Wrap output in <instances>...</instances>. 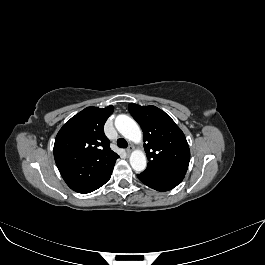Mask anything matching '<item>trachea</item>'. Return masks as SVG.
Wrapping results in <instances>:
<instances>
[{
	"label": "trachea",
	"mask_w": 265,
	"mask_h": 265,
	"mask_svg": "<svg viewBox=\"0 0 265 265\" xmlns=\"http://www.w3.org/2000/svg\"><path fill=\"white\" fill-rule=\"evenodd\" d=\"M117 145H118L119 148H127L128 143H127V141L125 139L119 138L117 140Z\"/></svg>",
	"instance_id": "obj_1"
}]
</instances>
